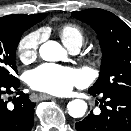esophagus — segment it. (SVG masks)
Listing matches in <instances>:
<instances>
[{"label": "esophagus", "instance_id": "34e87169", "mask_svg": "<svg viewBox=\"0 0 131 131\" xmlns=\"http://www.w3.org/2000/svg\"><path fill=\"white\" fill-rule=\"evenodd\" d=\"M40 100H48V99H55L54 96L48 95V94H40L39 95Z\"/></svg>", "mask_w": 131, "mask_h": 131}]
</instances>
